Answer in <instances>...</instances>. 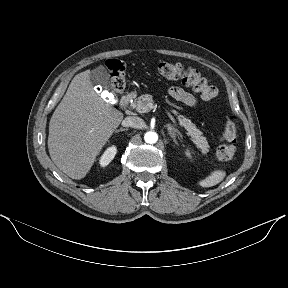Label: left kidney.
Returning <instances> with one entry per match:
<instances>
[{
	"mask_svg": "<svg viewBox=\"0 0 288 288\" xmlns=\"http://www.w3.org/2000/svg\"><path fill=\"white\" fill-rule=\"evenodd\" d=\"M187 155H188V156H190V153H189V152H187Z\"/></svg>",
	"mask_w": 288,
	"mask_h": 288,
	"instance_id": "5707ae66",
	"label": "left kidney"
}]
</instances>
